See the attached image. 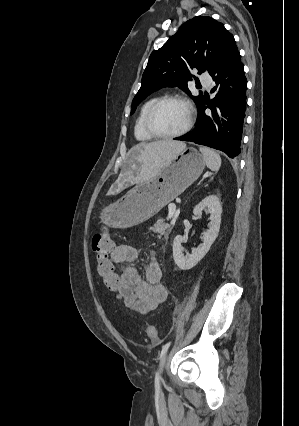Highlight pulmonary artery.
<instances>
[{
    "label": "pulmonary artery",
    "mask_w": 299,
    "mask_h": 426,
    "mask_svg": "<svg viewBox=\"0 0 299 426\" xmlns=\"http://www.w3.org/2000/svg\"><path fill=\"white\" fill-rule=\"evenodd\" d=\"M201 82L208 88L211 84V78L207 75L201 77Z\"/></svg>",
    "instance_id": "pulmonary-artery-1"
}]
</instances>
